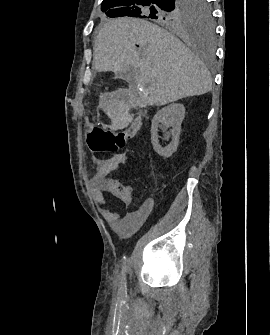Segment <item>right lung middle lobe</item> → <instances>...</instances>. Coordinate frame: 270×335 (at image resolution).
I'll list each match as a JSON object with an SVG mask.
<instances>
[{
	"instance_id": "dd1d6c3e",
	"label": "right lung middle lobe",
	"mask_w": 270,
	"mask_h": 335,
	"mask_svg": "<svg viewBox=\"0 0 270 335\" xmlns=\"http://www.w3.org/2000/svg\"><path fill=\"white\" fill-rule=\"evenodd\" d=\"M102 12L111 18L139 17L160 26L210 42L214 36L212 9L207 0H103Z\"/></svg>"
}]
</instances>
